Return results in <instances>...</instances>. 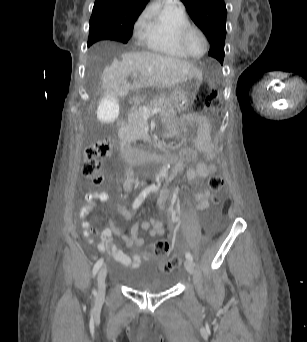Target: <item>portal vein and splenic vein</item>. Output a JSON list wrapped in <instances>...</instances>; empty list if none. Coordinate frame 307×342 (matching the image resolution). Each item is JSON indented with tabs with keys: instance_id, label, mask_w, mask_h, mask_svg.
Returning a JSON list of instances; mask_svg holds the SVG:
<instances>
[{
	"instance_id": "portal-vein-and-splenic-vein-1",
	"label": "portal vein and splenic vein",
	"mask_w": 307,
	"mask_h": 342,
	"mask_svg": "<svg viewBox=\"0 0 307 342\" xmlns=\"http://www.w3.org/2000/svg\"><path fill=\"white\" fill-rule=\"evenodd\" d=\"M132 76L133 78H136L137 74H132ZM137 106L140 108L142 105L139 103ZM141 110L142 111L140 112V115L145 118H148L149 114H158V112H161L160 108H154V110H148V107L146 105H143L141 107Z\"/></svg>"
}]
</instances>
